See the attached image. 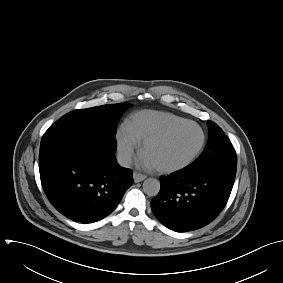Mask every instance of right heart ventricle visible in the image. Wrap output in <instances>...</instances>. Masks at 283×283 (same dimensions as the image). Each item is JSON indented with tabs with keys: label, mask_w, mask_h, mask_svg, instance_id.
Masks as SVG:
<instances>
[{
	"label": "right heart ventricle",
	"mask_w": 283,
	"mask_h": 283,
	"mask_svg": "<svg viewBox=\"0 0 283 283\" xmlns=\"http://www.w3.org/2000/svg\"><path fill=\"white\" fill-rule=\"evenodd\" d=\"M183 120L185 119L169 112L141 110L126 118L124 128L136 143H140L168 126Z\"/></svg>",
	"instance_id": "1"
}]
</instances>
